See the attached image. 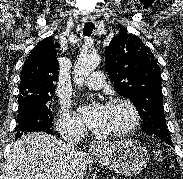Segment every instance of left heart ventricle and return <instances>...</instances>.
<instances>
[{"label": "left heart ventricle", "instance_id": "left-heart-ventricle-1", "mask_svg": "<svg viewBox=\"0 0 183 179\" xmlns=\"http://www.w3.org/2000/svg\"><path fill=\"white\" fill-rule=\"evenodd\" d=\"M132 116L130 110L121 104L107 105L104 132L120 130L128 126Z\"/></svg>", "mask_w": 183, "mask_h": 179}]
</instances>
